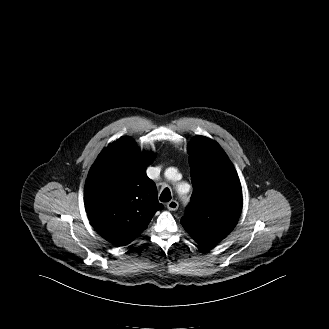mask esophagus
I'll return each instance as SVG.
<instances>
[{
	"label": "esophagus",
	"instance_id": "1",
	"mask_svg": "<svg viewBox=\"0 0 329 329\" xmlns=\"http://www.w3.org/2000/svg\"><path fill=\"white\" fill-rule=\"evenodd\" d=\"M178 207H179V204L175 200H172V201L168 202V204H167V208L170 211H175L178 209Z\"/></svg>",
	"mask_w": 329,
	"mask_h": 329
}]
</instances>
